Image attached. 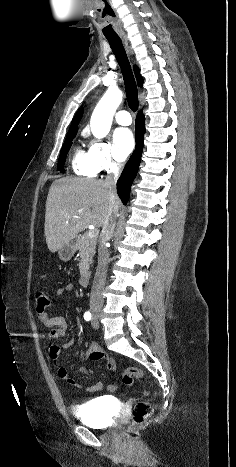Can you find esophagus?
Here are the masks:
<instances>
[{
  "mask_svg": "<svg viewBox=\"0 0 236 467\" xmlns=\"http://www.w3.org/2000/svg\"><path fill=\"white\" fill-rule=\"evenodd\" d=\"M122 40H123V42H124V45H125V47H126L127 52L131 55L132 51H131L130 46H129V44H128L127 38H126V37H123Z\"/></svg>",
  "mask_w": 236,
  "mask_h": 467,
  "instance_id": "34e87169",
  "label": "esophagus"
}]
</instances>
